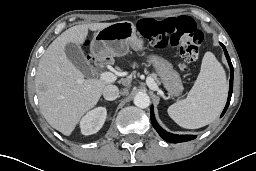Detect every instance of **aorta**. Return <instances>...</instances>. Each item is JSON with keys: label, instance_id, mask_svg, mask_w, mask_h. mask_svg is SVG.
<instances>
[{"label": "aorta", "instance_id": "762f6f07", "mask_svg": "<svg viewBox=\"0 0 256 171\" xmlns=\"http://www.w3.org/2000/svg\"><path fill=\"white\" fill-rule=\"evenodd\" d=\"M134 104L139 108H147L150 105V97L144 92H139L134 97Z\"/></svg>", "mask_w": 256, "mask_h": 171}]
</instances>
